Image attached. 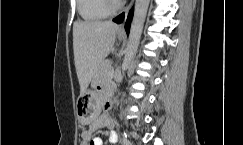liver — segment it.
I'll return each mask as SVG.
<instances>
[{"label": "liver", "mask_w": 243, "mask_h": 145, "mask_svg": "<svg viewBox=\"0 0 243 145\" xmlns=\"http://www.w3.org/2000/svg\"><path fill=\"white\" fill-rule=\"evenodd\" d=\"M119 26L111 21H76L73 49L80 91L84 93L113 48Z\"/></svg>", "instance_id": "liver-1"}]
</instances>
